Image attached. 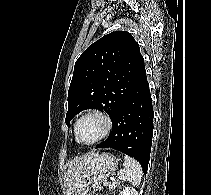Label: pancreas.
Returning <instances> with one entry per match:
<instances>
[{
	"label": "pancreas",
	"mask_w": 211,
	"mask_h": 195,
	"mask_svg": "<svg viewBox=\"0 0 211 195\" xmlns=\"http://www.w3.org/2000/svg\"><path fill=\"white\" fill-rule=\"evenodd\" d=\"M120 185L119 182H105L104 186H108L110 191L115 190L116 187H118Z\"/></svg>",
	"instance_id": "1"
}]
</instances>
